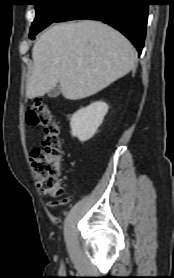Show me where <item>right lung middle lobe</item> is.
Instances as JSON below:
<instances>
[{
  "label": "right lung middle lobe",
  "instance_id": "1",
  "mask_svg": "<svg viewBox=\"0 0 174 278\" xmlns=\"http://www.w3.org/2000/svg\"><path fill=\"white\" fill-rule=\"evenodd\" d=\"M36 6V18L32 23L29 37H34L49 26L75 0H32Z\"/></svg>",
  "mask_w": 174,
  "mask_h": 278
}]
</instances>
